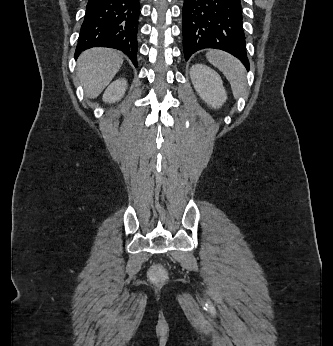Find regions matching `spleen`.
Here are the masks:
<instances>
[{
	"mask_svg": "<svg viewBox=\"0 0 333 346\" xmlns=\"http://www.w3.org/2000/svg\"><path fill=\"white\" fill-rule=\"evenodd\" d=\"M208 61L217 67L230 82L235 98L243 96L246 91L245 68L235 57L222 51L212 50L206 54Z\"/></svg>",
	"mask_w": 333,
	"mask_h": 346,
	"instance_id": "spleen-1",
	"label": "spleen"
}]
</instances>
